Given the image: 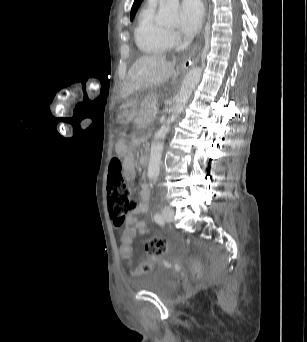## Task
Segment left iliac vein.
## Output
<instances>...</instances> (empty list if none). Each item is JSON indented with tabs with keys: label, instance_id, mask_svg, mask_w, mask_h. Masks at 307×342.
Here are the masks:
<instances>
[{
	"label": "left iliac vein",
	"instance_id": "1",
	"mask_svg": "<svg viewBox=\"0 0 307 342\" xmlns=\"http://www.w3.org/2000/svg\"><path fill=\"white\" fill-rule=\"evenodd\" d=\"M162 217L166 222H171L174 218V212L171 208L165 207L162 210Z\"/></svg>",
	"mask_w": 307,
	"mask_h": 342
}]
</instances>
